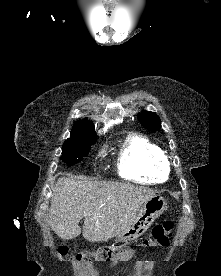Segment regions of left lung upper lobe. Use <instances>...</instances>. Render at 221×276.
Here are the masks:
<instances>
[{"label":"left lung upper lobe","instance_id":"5c2ea615","mask_svg":"<svg viewBox=\"0 0 221 276\" xmlns=\"http://www.w3.org/2000/svg\"><path fill=\"white\" fill-rule=\"evenodd\" d=\"M137 118L141 125L150 131H159L161 128L160 118L154 112L142 111Z\"/></svg>","mask_w":221,"mask_h":276}]
</instances>
